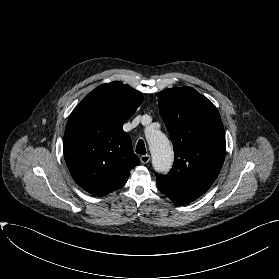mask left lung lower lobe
I'll return each instance as SVG.
<instances>
[{
  "label": "left lung lower lobe",
  "instance_id": "left-lung-lower-lobe-1",
  "mask_svg": "<svg viewBox=\"0 0 279 279\" xmlns=\"http://www.w3.org/2000/svg\"><path fill=\"white\" fill-rule=\"evenodd\" d=\"M158 189L164 194L166 195L168 198H170L173 202L177 203V204H187L190 203L192 201H194L197 198L188 196V195H184L181 193H178L164 185L161 184H157Z\"/></svg>",
  "mask_w": 279,
  "mask_h": 279
}]
</instances>
